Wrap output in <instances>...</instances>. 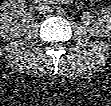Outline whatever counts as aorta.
<instances>
[{"label": "aorta", "instance_id": "1", "mask_svg": "<svg viewBox=\"0 0 111 106\" xmlns=\"http://www.w3.org/2000/svg\"><path fill=\"white\" fill-rule=\"evenodd\" d=\"M56 13L59 14V15H62L64 13V8L62 7H57L56 8Z\"/></svg>", "mask_w": 111, "mask_h": 106}]
</instances>
